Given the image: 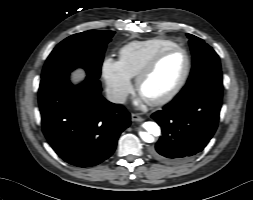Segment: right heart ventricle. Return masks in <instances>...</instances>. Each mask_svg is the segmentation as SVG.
Instances as JSON below:
<instances>
[{
    "label": "right heart ventricle",
    "mask_w": 253,
    "mask_h": 200,
    "mask_svg": "<svg viewBox=\"0 0 253 200\" xmlns=\"http://www.w3.org/2000/svg\"><path fill=\"white\" fill-rule=\"evenodd\" d=\"M174 46H177L175 42L164 38L132 41L120 48L119 62L125 73L133 78L157 53Z\"/></svg>",
    "instance_id": "1"
}]
</instances>
